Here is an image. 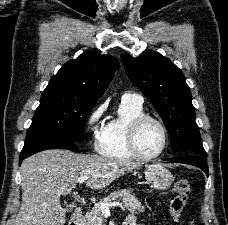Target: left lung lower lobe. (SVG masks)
I'll use <instances>...</instances> for the list:
<instances>
[{"label": "left lung lower lobe", "mask_w": 228, "mask_h": 225, "mask_svg": "<svg viewBox=\"0 0 228 225\" xmlns=\"http://www.w3.org/2000/svg\"><path fill=\"white\" fill-rule=\"evenodd\" d=\"M174 162L185 163V164H189V165H193V166L199 167L208 176V166H207L204 158L195 157V158H191V159H188V160L174 161Z\"/></svg>", "instance_id": "1"}]
</instances>
